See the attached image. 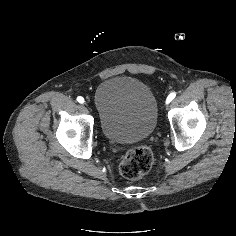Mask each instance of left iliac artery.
I'll return each mask as SVG.
<instances>
[{
	"mask_svg": "<svg viewBox=\"0 0 236 236\" xmlns=\"http://www.w3.org/2000/svg\"><path fill=\"white\" fill-rule=\"evenodd\" d=\"M175 97H176V93H175V92H171V93L168 95V97H167L166 100H169V101L171 102Z\"/></svg>",
	"mask_w": 236,
	"mask_h": 236,
	"instance_id": "44dca946",
	"label": "left iliac artery"
}]
</instances>
